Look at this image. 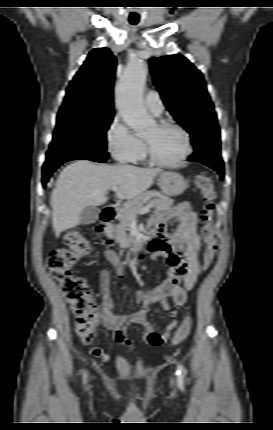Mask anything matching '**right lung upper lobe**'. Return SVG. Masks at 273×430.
Wrapping results in <instances>:
<instances>
[{"label": "right lung upper lobe", "instance_id": "obj_1", "mask_svg": "<svg viewBox=\"0 0 273 430\" xmlns=\"http://www.w3.org/2000/svg\"><path fill=\"white\" fill-rule=\"evenodd\" d=\"M116 59L107 48L93 49L70 82L60 109L114 112Z\"/></svg>", "mask_w": 273, "mask_h": 430}]
</instances>
